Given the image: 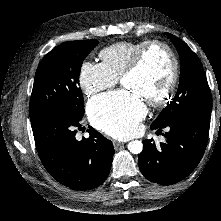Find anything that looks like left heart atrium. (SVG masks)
<instances>
[{"label": "left heart atrium", "mask_w": 221, "mask_h": 221, "mask_svg": "<svg viewBox=\"0 0 221 221\" xmlns=\"http://www.w3.org/2000/svg\"><path fill=\"white\" fill-rule=\"evenodd\" d=\"M146 111L142 97L133 90L100 95L91 100L87 108L92 124L119 140L139 132V123Z\"/></svg>", "instance_id": "1"}]
</instances>
